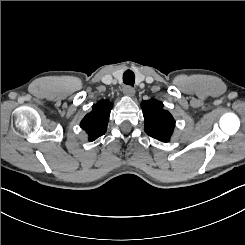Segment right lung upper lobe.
<instances>
[{"label":"right lung upper lobe","instance_id":"1","mask_svg":"<svg viewBox=\"0 0 245 245\" xmlns=\"http://www.w3.org/2000/svg\"><path fill=\"white\" fill-rule=\"evenodd\" d=\"M111 108V102L101 100L93 105L92 111L81 121V128L86 131L90 141L105 134Z\"/></svg>","mask_w":245,"mask_h":245}]
</instances>
